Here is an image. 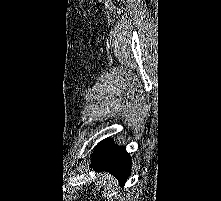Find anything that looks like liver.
<instances>
[{
	"instance_id": "6515ba94",
	"label": "liver",
	"mask_w": 221,
	"mask_h": 201,
	"mask_svg": "<svg viewBox=\"0 0 221 201\" xmlns=\"http://www.w3.org/2000/svg\"><path fill=\"white\" fill-rule=\"evenodd\" d=\"M116 183L117 180L107 173H101V177L96 178L97 190H99V188H103L105 191H110V189H112Z\"/></svg>"
}]
</instances>
